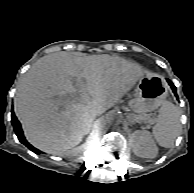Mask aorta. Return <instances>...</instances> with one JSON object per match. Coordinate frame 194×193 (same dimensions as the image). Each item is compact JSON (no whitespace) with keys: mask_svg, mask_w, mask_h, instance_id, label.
<instances>
[{"mask_svg":"<svg viewBox=\"0 0 194 193\" xmlns=\"http://www.w3.org/2000/svg\"><path fill=\"white\" fill-rule=\"evenodd\" d=\"M121 120V116L118 112L116 111H110L106 115V121L111 124H117Z\"/></svg>","mask_w":194,"mask_h":193,"instance_id":"1","label":"aorta"}]
</instances>
